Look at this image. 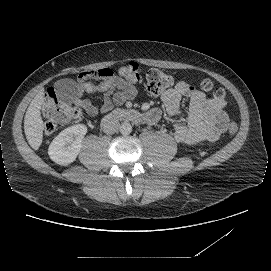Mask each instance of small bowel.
Returning a JSON list of instances; mask_svg holds the SVG:
<instances>
[{"label":"small bowel","mask_w":271,"mask_h":271,"mask_svg":"<svg viewBox=\"0 0 271 271\" xmlns=\"http://www.w3.org/2000/svg\"><path fill=\"white\" fill-rule=\"evenodd\" d=\"M78 77L80 82L76 103L91 116H96L99 112L106 113L113 106L132 100L137 94L134 86L125 83L107 68L83 71ZM93 80L100 81L93 83ZM95 92L103 94L100 109L83 98L85 94ZM161 99L168 115L176 119L173 124V136L178 142L216 141L227 128L228 117L224 110V100L207 98L189 82H178L173 88L166 90ZM184 99L188 101L186 116L183 112ZM160 116V110L154 108L146 114V119L154 123Z\"/></svg>","instance_id":"small-bowel-1"}]
</instances>
